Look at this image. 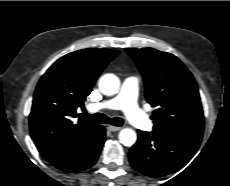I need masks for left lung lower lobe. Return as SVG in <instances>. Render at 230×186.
Wrapping results in <instances>:
<instances>
[{"mask_svg": "<svg viewBox=\"0 0 230 186\" xmlns=\"http://www.w3.org/2000/svg\"><path fill=\"white\" fill-rule=\"evenodd\" d=\"M199 145L198 141L138 130V140L129 151V161L147 176L162 177L184 167Z\"/></svg>", "mask_w": 230, "mask_h": 186, "instance_id": "0a47b994", "label": "left lung lower lobe"}]
</instances>
